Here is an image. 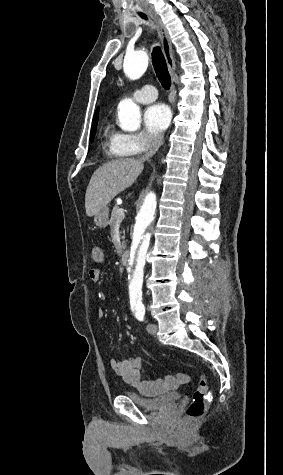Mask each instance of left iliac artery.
Here are the masks:
<instances>
[{
	"label": "left iliac artery",
	"mask_w": 283,
	"mask_h": 475,
	"mask_svg": "<svg viewBox=\"0 0 283 475\" xmlns=\"http://www.w3.org/2000/svg\"><path fill=\"white\" fill-rule=\"evenodd\" d=\"M145 310H140L136 312V318L140 321L144 320Z\"/></svg>",
	"instance_id": "44dca946"
}]
</instances>
